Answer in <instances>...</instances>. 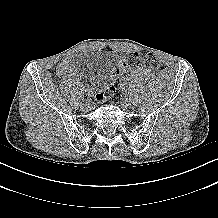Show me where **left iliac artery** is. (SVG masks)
<instances>
[{
	"label": "left iliac artery",
	"mask_w": 218,
	"mask_h": 218,
	"mask_svg": "<svg viewBox=\"0 0 218 218\" xmlns=\"http://www.w3.org/2000/svg\"><path fill=\"white\" fill-rule=\"evenodd\" d=\"M126 98L131 100V101H134L135 100V97L134 96H131L130 94H127L126 95Z\"/></svg>",
	"instance_id": "obj_1"
}]
</instances>
